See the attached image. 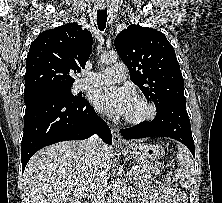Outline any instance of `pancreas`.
Masks as SVG:
<instances>
[{"instance_id":"1","label":"pancreas","mask_w":222,"mask_h":203,"mask_svg":"<svg viewBox=\"0 0 222 203\" xmlns=\"http://www.w3.org/2000/svg\"><path fill=\"white\" fill-rule=\"evenodd\" d=\"M134 166L136 167V169L133 170L132 173L134 175V179L137 181H140L145 177H149L152 174H160L159 168L161 167V165L159 163L135 160Z\"/></svg>"}]
</instances>
